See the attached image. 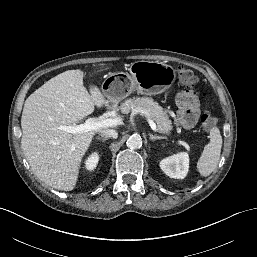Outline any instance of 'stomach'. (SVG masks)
<instances>
[{
	"label": "stomach",
	"instance_id": "0dacf381",
	"mask_svg": "<svg viewBox=\"0 0 257 257\" xmlns=\"http://www.w3.org/2000/svg\"><path fill=\"white\" fill-rule=\"evenodd\" d=\"M128 70L130 74H114L103 82L102 92L109 105H117L134 90L150 96L163 93L175 80L174 68L164 62L136 61Z\"/></svg>",
	"mask_w": 257,
	"mask_h": 257
}]
</instances>
